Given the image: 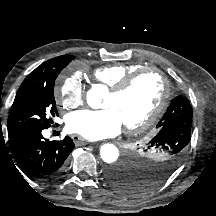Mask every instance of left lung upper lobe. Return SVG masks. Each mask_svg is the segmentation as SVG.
Instances as JSON below:
<instances>
[{"label": "left lung upper lobe", "instance_id": "left-lung-upper-lobe-1", "mask_svg": "<svg viewBox=\"0 0 216 216\" xmlns=\"http://www.w3.org/2000/svg\"><path fill=\"white\" fill-rule=\"evenodd\" d=\"M192 115L191 105L186 98L176 97L171 101L163 118L157 124L158 133L148 146L157 157L166 160L158 166L159 177L156 179H133L134 195L148 191L177 163L191 140Z\"/></svg>", "mask_w": 216, "mask_h": 216}]
</instances>
